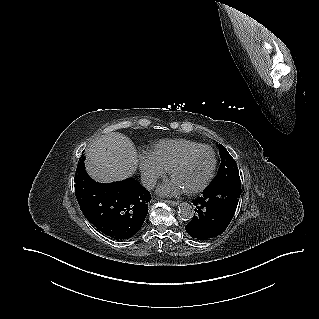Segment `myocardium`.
Here are the masks:
<instances>
[{"mask_svg":"<svg viewBox=\"0 0 319 319\" xmlns=\"http://www.w3.org/2000/svg\"><path fill=\"white\" fill-rule=\"evenodd\" d=\"M201 149H207L211 152L212 155V165L210 168V171L206 177V179L197 187L190 189V190H185V192L189 195H194L197 194L199 192H202L203 190H205L209 184L211 183V181L213 180V177L215 175V171H216V167H217V157H216V153L214 151V149L209 146V145H205V144H199L193 148H190L188 150H186L185 152H183L171 165V167L169 168V174L170 177L173 178V174L174 172L180 167L182 166L186 160L193 155L195 152H197L198 150Z\"/></svg>","mask_w":319,"mask_h":319,"instance_id":"1","label":"myocardium"}]
</instances>
